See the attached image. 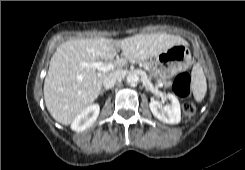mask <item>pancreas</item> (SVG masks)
Segmentation results:
<instances>
[{
  "label": "pancreas",
  "mask_w": 245,
  "mask_h": 170,
  "mask_svg": "<svg viewBox=\"0 0 245 170\" xmlns=\"http://www.w3.org/2000/svg\"><path fill=\"white\" fill-rule=\"evenodd\" d=\"M134 61L142 65L149 72L150 78H157L156 68L152 63L148 62L147 60H140V59H137ZM157 81H160V79H157ZM164 83H165V86L170 85V82H164Z\"/></svg>",
  "instance_id": "obj_1"
}]
</instances>
